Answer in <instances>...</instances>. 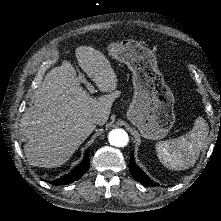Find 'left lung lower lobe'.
I'll return each instance as SVG.
<instances>
[{
    "label": "left lung lower lobe",
    "instance_id": "1",
    "mask_svg": "<svg viewBox=\"0 0 221 221\" xmlns=\"http://www.w3.org/2000/svg\"><path fill=\"white\" fill-rule=\"evenodd\" d=\"M129 169L133 177L140 182L141 184L148 186H157V183H154L141 169L138 167L134 161L133 152L131 153L129 160Z\"/></svg>",
    "mask_w": 221,
    "mask_h": 221
}]
</instances>
